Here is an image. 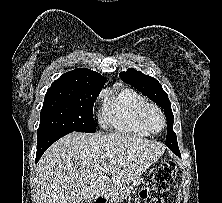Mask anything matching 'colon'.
<instances>
[{
  "instance_id": "obj_1",
  "label": "colon",
  "mask_w": 222,
  "mask_h": 203,
  "mask_svg": "<svg viewBox=\"0 0 222 203\" xmlns=\"http://www.w3.org/2000/svg\"><path fill=\"white\" fill-rule=\"evenodd\" d=\"M177 172L178 168L173 161L163 162L156 170L150 186L143 190L142 198L148 199L149 203H164L169 186L174 181Z\"/></svg>"
}]
</instances>
